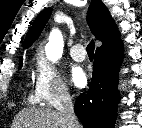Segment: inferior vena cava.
I'll return each instance as SVG.
<instances>
[{
    "mask_svg": "<svg viewBox=\"0 0 142 128\" xmlns=\"http://www.w3.org/2000/svg\"><path fill=\"white\" fill-rule=\"evenodd\" d=\"M58 109L67 123V128H80L79 122L74 113L72 99L67 91L63 92L60 96Z\"/></svg>",
    "mask_w": 142,
    "mask_h": 128,
    "instance_id": "obj_1",
    "label": "inferior vena cava"
}]
</instances>
